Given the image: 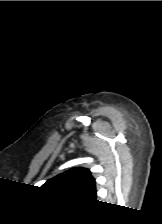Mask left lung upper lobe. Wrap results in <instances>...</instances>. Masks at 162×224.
<instances>
[{"label":"left lung upper lobe","instance_id":"1","mask_svg":"<svg viewBox=\"0 0 162 224\" xmlns=\"http://www.w3.org/2000/svg\"><path fill=\"white\" fill-rule=\"evenodd\" d=\"M42 188L75 198L92 199L96 194L95 179L86 168H72L48 180Z\"/></svg>","mask_w":162,"mask_h":224}]
</instances>
